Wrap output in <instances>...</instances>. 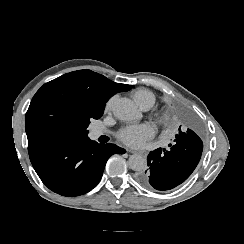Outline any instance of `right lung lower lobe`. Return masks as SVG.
Wrapping results in <instances>:
<instances>
[{
	"label": "right lung lower lobe",
	"instance_id": "obj_1",
	"mask_svg": "<svg viewBox=\"0 0 244 244\" xmlns=\"http://www.w3.org/2000/svg\"><path fill=\"white\" fill-rule=\"evenodd\" d=\"M126 151L114 144H98L89 137H28L31 163L52 191L63 196L89 192L100 181L107 160Z\"/></svg>",
	"mask_w": 244,
	"mask_h": 244
}]
</instances>
